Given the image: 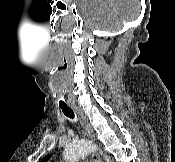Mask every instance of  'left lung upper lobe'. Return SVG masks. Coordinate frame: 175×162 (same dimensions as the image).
<instances>
[{"label":"left lung upper lobe","mask_w":175,"mask_h":162,"mask_svg":"<svg viewBox=\"0 0 175 162\" xmlns=\"http://www.w3.org/2000/svg\"><path fill=\"white\" fill-rule=\"evenodd\" d=\"M49 156H46L44 159H42L41 162H46L48 160Z\"/></svg>","instance_id":"5c2ea615"}]
</instances>
